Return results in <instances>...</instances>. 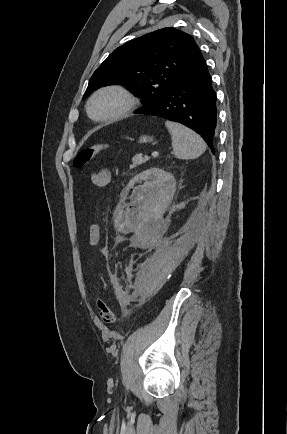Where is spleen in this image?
Wrapping results in <instances>:
<instances>
[{
	"label": "spleen",
	"mask_w": 287,
	"mask_h": 434,
	"mask_svg": "<svg viewBox=\"0 0 287 434\" xmlns=\"http://www.w3.org/2000/svg\"><path fill=\"white\" fill-rule=\"evenodd\" d=\"M172 137V147L177 159H195L204 153L206 144L203 139L191 129L175 123H165Z\"/></svg>",
	"instance_id": "1"
}]
</instances>
